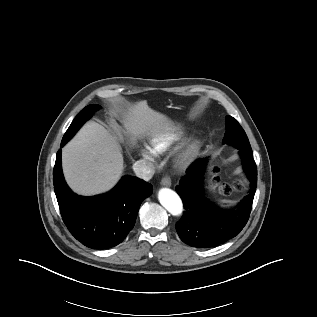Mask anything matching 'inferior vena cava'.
<instances>
[{
	"instance_id": "602c4592",
	"label": "inferior vena cava",
	"mask_w": 317,
	"mask_h": 317,
	"mask_svg": "<svg viewBox=\"0 0 317 317\" xmlns=\"http://www.w3.org/2000/svg\"><path fill=\"white\" fill-rule=\"evenodd\" d=\"M133 170L137 177L145 181L150 180L155 173L154 165L146 160L136 161L133 164Z\"/></svg>"
}]
</instances>
